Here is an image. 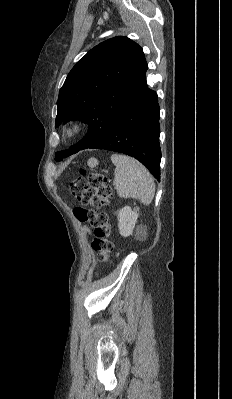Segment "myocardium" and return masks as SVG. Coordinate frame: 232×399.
I'll return each instance as SVG.
<instances>
[{
    "instance_id": "1",
    "label": "myocardium",
    "mask_w": 232,
    "mask_h": 399,
    "mask_svg": "<svg viewBox=\"0 0 232 399\" xmlns=\"http://www.w3.org/2000/svg\"><path fill=\"white\" fill-rule=\"evenodd\" d=\"M83 130V123L80 120H73L62 129V139L70 141L78 137Z\"/></svg>"
}]
</instances>
